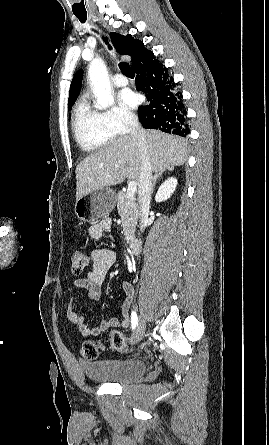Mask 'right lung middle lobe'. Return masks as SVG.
<instances>
[{
    "label": "right lung middle lobe",
    "mask_w": 269,
    "mask_h": 445,
    "mask_svg": "<svg viewBox=\"0 0 269 445\" xmlns=\"http://www.w3.org/2000/svg\"><path fill=\"white\" fill-rule=\"evenodd\" d=\"M73 104H68V109L70 110Z\"/></svg>",
    "instance_id": "right-lung-middle-lobe-1"
}]
</instances>
